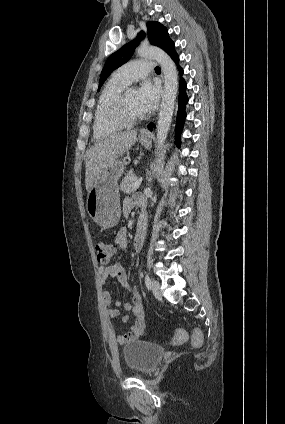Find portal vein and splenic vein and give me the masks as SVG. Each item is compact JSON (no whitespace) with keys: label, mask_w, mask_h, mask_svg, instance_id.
Listing matches in <instances>:
<instances>
[{"label":"portal vein and splenic vein","mask_w":285,"mask_h":424,"mask_svg":"<svg viewBox=\"0 0 285 424\" xmlns=\"http://www.w3.org/2000/svg\"><path fill=\"white\" fill-rule=\"evenodd\" d=\"M141 182H142V178H139L138 180H136L135 183L133 184V188L134 189L139 188Z\"/></svg>","instance_id":"1"}]
</instances>
